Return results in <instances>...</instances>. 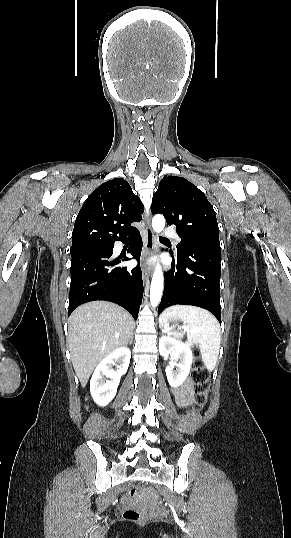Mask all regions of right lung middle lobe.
I'll return each mask as SVG.
<instances>
[{
    "label": "right lung middle lobe",
    "instance_id": "dd1d6c3e",
    "mask_svg": "<svg viewBox=\"0 0 291 538\" xmlns=\"http://www.w3.org/2000/svg\"><path fill=\"white\" fill-rule=\"evenodd\" d=\"M111 248V245L109 246H93V247H86V248H80V249H74L71 250V257H75L78 255L95 252V251H102V250H108Z\"/></svg>",
    "mask_w": 291,
    "mask_h": 538
}]
</instances>
